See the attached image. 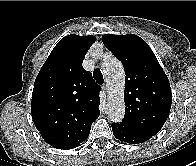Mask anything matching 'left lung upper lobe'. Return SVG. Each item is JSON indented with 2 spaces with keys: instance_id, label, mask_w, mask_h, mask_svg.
<instances>
[{
  "instance_id": "left-lung-upper-lobe-1",
  "label": "left lung upper lobe",
  "mask_w": 196,
  "mask_h": 166,
  "mask_svg": "<svg viewBox=\"0 0 196 166\" xmlns=\"http://www.w3.org/2000/svg\"><path fill=\"white\" fill-rule=\"evenodd\" d=\"M103 44L122 62L125 116L122 124L154 136L168 118L172 94L169 80L149 45L137 35H103Z\"/></svg>"
}]
</instances>
